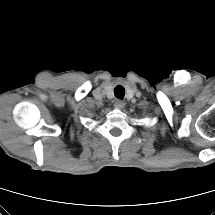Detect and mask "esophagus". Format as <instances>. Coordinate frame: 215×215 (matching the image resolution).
<instances>
[{
    "label": "esophagus",
    "instance_id": "34e87169",
    "mask_svg": "<svg viewBox=\"0 0 215 215\" xmlns=\"http://www.w3.org/2000/svg\"><path fill=\"white\" fill-rule=\"evenodd\" d=\"M125 106V102L122 100H116L114 103V107L116 109H122Z\"/></svg>",
    "mask_w": 215,
    "mask_h": 215
}]
</instances>
